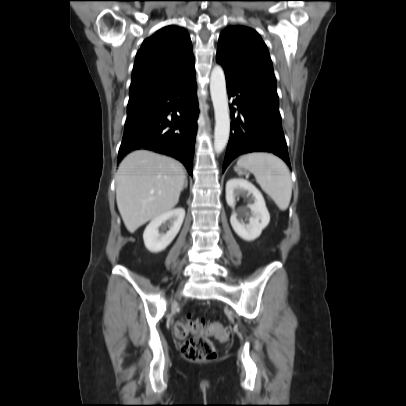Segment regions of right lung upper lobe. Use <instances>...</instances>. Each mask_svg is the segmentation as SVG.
Instances as JSON below:
<instances>
[{
    "label": "right lung upper lobe",
    "mask_w": 406,
    "mask_h": 406,
    "mask_svg": "<svg viewBox=\"0 0 406 406\" xmlns=\"http://www.w3.org/2000/svg\"><path fill=\"white\" fill-rule=\"evenodd\" d=\"M194 73L189 34L174 25L164 27L144 40L136 54L128 106L165 92Z\"/></svg>",
    "instance_id": "cb5924a9"
}]
</instances>
